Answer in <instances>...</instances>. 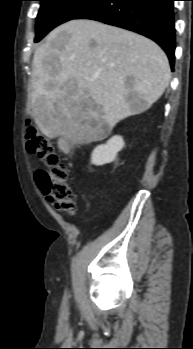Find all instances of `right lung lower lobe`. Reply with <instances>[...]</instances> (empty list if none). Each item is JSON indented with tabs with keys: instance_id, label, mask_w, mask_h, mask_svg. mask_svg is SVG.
<instances>
[{
	"instance_id": "right-lung-lower-lobe-1",
	"label": "right lung lower lobe",
	"mask_w": 193,
	"mask_h": 349,
	"mask_svg": "<svg viewBox=\"0 0 193 349\" xmlns=\"http://www.w3.org/2000/svg\"><path fill=\"white\" fill-rule=\"evenodd\" d=\"M174 0H96L74 19H91L125 28L157 42L174 67Z\"/></svg>"
}]
</instances>
